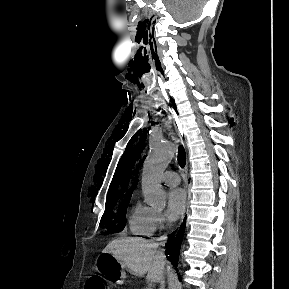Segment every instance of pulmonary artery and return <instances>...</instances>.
<instances>
[{
    "instance_id": "e3ab8cb5",
    "label": "pulmonary artery",
    "mask_w": 289,
    "mask_h": 289,
    "mask_svg": "<svg viewBox=\"0 0 289 289\" xmlns=\"http://www.w3.org/2000/svg\"><path fill=\"white\" fill-rule=\"evenodd\" d=\"M161 181L168 186H177L180 182V179L176 172L169 170L165 171L161 175Z\"/></svg>"
}]
</instances>
